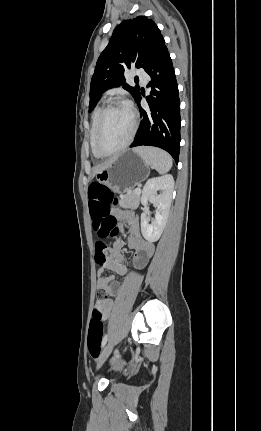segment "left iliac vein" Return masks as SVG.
Here are the masks:
<instances>
[{
  "label": "left iliac vein",
  "instance_id": "obj_1",
  "mask_svg": "<svg viewBox=\"0 0 261 431\" xmlns=\"http://www.w3.org/2000/svg\"><path fill=\"white\" fill-rule=\"evenodd\" d=\"M112 350H113V343L110 342L105 346V348L103 349V351H102V353L98 359L97 369H99L103 365V363L106 361L108 356L111 354Z\"/></svg>",
  "mask_w": 261,
  "mask_h": 431
}]
</instances>
